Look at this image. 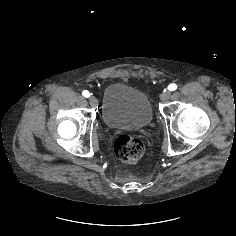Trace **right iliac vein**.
Returning <instances> with one entry per match:
<instances>
[{"label": "right iliac vein", "mask_w": 236, "mask_h": 236, "mask_svg": "<svg viewBox=\"0 0 236 236\" xmlns=\"http://www.w3.org/2000/svg\"><path fill=\"white\" fill-rule=\"evenodd\" d=\"M89 103L91 104V106L96 107L97 104H98V101H97L96 97L90 96L89 97Z\"/></svg>", "instance_id": "obj_1"}]
</instances>
